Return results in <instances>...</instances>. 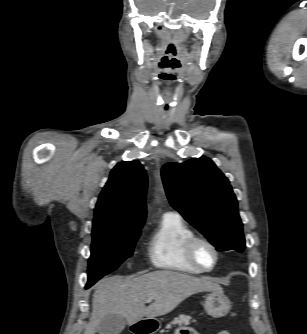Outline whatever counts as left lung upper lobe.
<instances>
[{
  "instance_id": "5c2ea615",
  "label": "left lung upper lobe",
  "mask_w": 307,
  "mask_h": 334,
  "mask_svg": "<svg viewBox=\"0 0 307 334\" xmlns=\"http://www.w3.org/2000/svg\"><path fill=\"white\" fill-rule=\"evenodd\" d=\"M170 204L218 251L245 247L237 199L229 180L207 157L162 167Z\"/></svg>"
}]
</instances>
